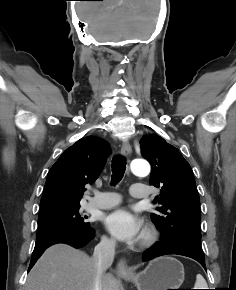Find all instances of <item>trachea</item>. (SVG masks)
I'll return each mask as SVG.
<instances>
[{"mask_svg": "<svg viewBox=\"0 0 236 290\" xmlns=\"http://www.w3.org/2000/svg\"><path fill=\"white\" fill-rule=\"evenodd\" d=\"M112 185H116L119 183L125 173L126 170V159L123 156H115L112 159Z\"/></svg>", "mask_w": 236, "mask_h": 290, "instance_id": "obj_1", "label": "trachea"}]
</instances>
